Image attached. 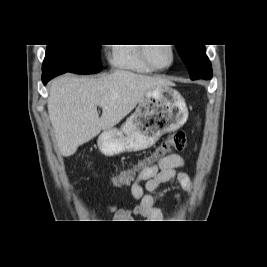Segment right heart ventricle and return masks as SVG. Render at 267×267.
I'll use <instances>...</instances> for the list:
<instances>
[{"instance_id":"right-heart-ventricle-1","label":"right heart ventricle","mask_w":267,"mask_h":267,"mask_svg":"<svg viewBox=\"0 0 267 267\" xmlns=\"http://www.w3.org/2000/svg\"><path fill=\"white\" fill-rule=\"evenodd\" d=\"M141 44H114L109 54V63L114 69L138 73H152L154 69L143 59Z\"/></svg>"}]
</instances>
